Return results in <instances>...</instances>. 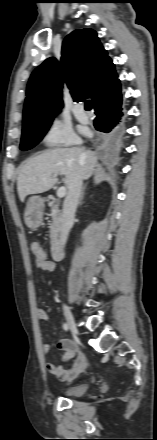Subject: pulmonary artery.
<instances>
[{
    "label": "pulmonary artery",
    "mask_w": 157,
    "mask_h": 440,
    "mask_svg": "<svg viewBox=\"0 0 157 440\" xmlns=\"http://www.w3.org/2000/svg\"><path fill=\"white\" fill-rule=\"evenodd\" d=\"M72 112L74 113V115H75L78 119H80V120H82V121H87V116H86V114L84 113L83 106H82L81 104H74V105L72 106Z\"/></svg>",
    "instance_id": "1"
}]
</instances>
